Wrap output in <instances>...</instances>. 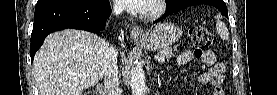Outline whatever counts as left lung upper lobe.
I'll return each mask as SVG.
<instances>
[{
    "label": "left lung upper lobe",
    "instance_id": "5c2ea615",
    "mask_svg": "<svg viewBox=\"0 0 277 95\" xmlns=\"http://www.w3.org/2000/svg\"><path fill=\"white\" fill-rule=\"evenodd\" d=\"M182 0H168V5H167V9L170 8L171 6H173L174 4H177L179 2H181Z\"/></svg>",
    "mask_w": 277,
    "mask_h": 95
}]
</instances>
